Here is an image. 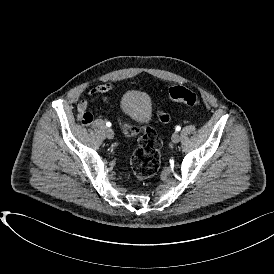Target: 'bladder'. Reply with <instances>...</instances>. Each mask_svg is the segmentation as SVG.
<instances>
[{"label":"bladder","instance_id":"bladder-1","mask_svg":"<svg viewBox=\"0 0 274 274\" xmlns=\"http://www.w3.org/2000/svg\"><path fill=\"white\" fill-rule=\"evenodd\" d=\"M121 111L135 125L144 124L151 114V102L147 94L140 91H130L121 100Z\"/></svg>","mask_w":274,"mask_h":274}]
</instances>
